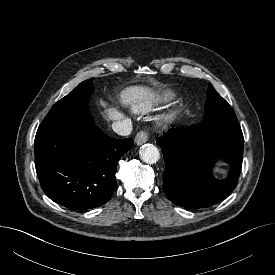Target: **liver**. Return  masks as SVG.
Listing matches in <instances>:
<instances>
[{"label": "liver", "instance_id": "6515ba94", "mask_svg": "<svg viewBox=\"0 0 275 275\" xmlns=\"http://www.w3.org/2000/svg\"><path fill=\"white\" fill-rule=\"evenodd\" d=\"M158 100V94L147 86H131L123 90L120 94V101L123 105L133 103H147L151 104ZM107 116L110 120H120L123 114L114 108L107 109Z\"/></svg>", "mask_w": 275, "mask_h": 275}]
</instances>
